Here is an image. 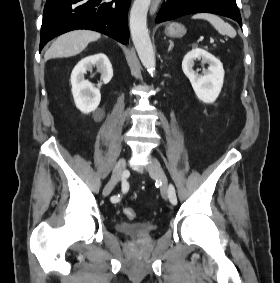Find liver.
Instances as JSON below:
<instances>
[{
  "instance_id": "1",
  "label": "liver",
  "mask_w": 280,
  "mask_h": 283,
  "mask_svg": "<svg viewBox=\"0 0 280 283\" xmlns=\"http://www.w3.org/2000/svg\"><path fill=\"white\" fill-rule=\"evenodd\" d=\"M101 34L90 30H75L59 36L45 53V60L71 57L82 52L90 42L96 41Z\"/></svg>"
}]
</instances>
